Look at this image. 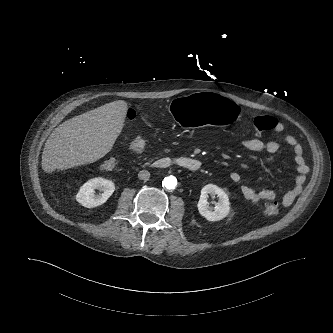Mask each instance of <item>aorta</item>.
<instances>
[{"mask_svg": "<svg viewBox=\"0 0 333 333\" xmlns=\"http://www.w3.org/2000/svg\"><path fill=\"white\" fill-rule=\"evenodd\" d=\"M162 184L167 189H174L177 186V179L173 176H168L163 180Z\"/></svg>", "mask_w": 333, "mask_h": 333, "instance_id": "762f6f07", "label": "aorta"}]
</instances>
